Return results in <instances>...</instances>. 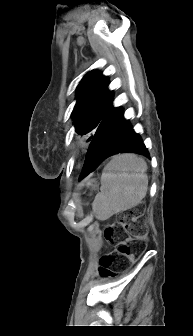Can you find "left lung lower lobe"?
Wrapping results in <instances>:
<instances>
[{
	"instance_id": "1",
	"label": "left lung lower lobe",
	"mask_w": 193,
	"mask_h": 336,
	"mask_svg": "<svg viewBox=\"0 0 193 336\" xmlns=\"http://www.w3.org/2000/svg\"><path fill=\"white\" fill-rule=\"evenodd\" d=\"M133 152L149 158L142 139L123 118L121 107L112 108L99 123L86 154L79 180L94 171L106 158Z\"/></svg>"
}]
</instances>
